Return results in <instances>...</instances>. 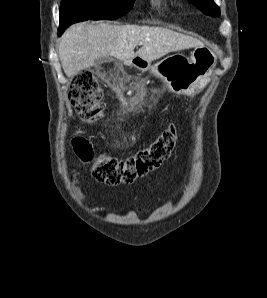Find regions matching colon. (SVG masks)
<instances>
[{
	"label": "colon",
	"mask_w": 267,
	"mask_h": 298,
	"mask_svg": "<svg viewBox=\"0 0 267 298\" xmlns=\"http://www.w3.org/2000/svg\"><path fill=\"white\" fill-rule=\"evenodd\" d=\"M68 99L84 121L93 122L100 117L102 93L92 73L82 71L72 79ZM177 138V129L172 124L146 148L122 160L104 154L96 156L89 141L79 135L73 138L72 147L83 163L92 166L96 180L107 185H119L130 184L158 168L171 155Z\"/></svg>",
	"instance_id": "colon-1"
}]
</instances>
